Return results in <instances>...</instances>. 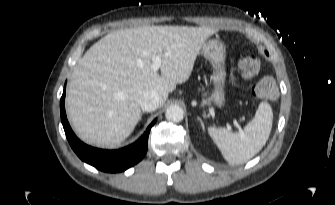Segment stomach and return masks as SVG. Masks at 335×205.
I'll return each mask as SVG.
<instances>
[{"label": "stomach", "mask_w": 335, "mask_h": 205, "mask_svg": "<svg viewBox=\"0 0 335 205\" xmlns=\"http://www.w3.org/2000/svg\"><path fill=\"white\" fill-rule=\"evenodd\" d=\"M200 52L211 63L214 69L213 74L211 75L214 89L210 99L217 106L221 107L225 102L226 47L223 42L217 39H212L203 43Z\"/></svg>", "instance_id": "obj_1"}]
</instances>
